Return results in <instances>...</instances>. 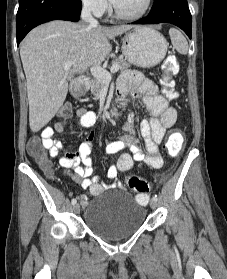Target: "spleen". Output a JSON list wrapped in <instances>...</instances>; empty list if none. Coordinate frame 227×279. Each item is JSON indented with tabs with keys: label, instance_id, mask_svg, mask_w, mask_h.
<instances>
[{
	"label": "spleen",
	"instance_id": "3e777b00",
	"mask_svg": "<svg viewBox=\"0 0 227 279\" xmlns=\"http://www.w3.org/2000/svg\"><path fill=\"white\" fill-rule=\"evenodd\" d=\"M169 35L171 38V42L175 49L180 53V54H187L188 52V43L185 39V37L182 35L180 31H178L175 28H172L169 30Z\"/></svg>",
	"mask_w": 227,
	"mask_h": 279
}]
</instances>
